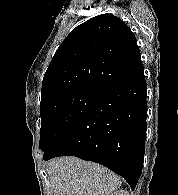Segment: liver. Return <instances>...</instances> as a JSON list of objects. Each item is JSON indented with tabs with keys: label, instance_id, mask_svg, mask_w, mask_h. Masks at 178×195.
<instances>
[{
	"label": "liver",
	"instance_id": "obj_1",
	"mask_svg": "<svg viewBox=\"0 0 178 195\" xmlns=\"http://www.w3.org/2000/svg\"><path fill=\"white\" fill-rule=\"evenodd\" d=\"M46 171L53 195H110L121 186L107 168L72 156L51 160Z\"/></svg>",
	"mask_w": 178,
	"mask_h": 195
}]
</instances>
